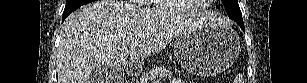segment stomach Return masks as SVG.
I'll list each match as a JSON object with an SVG mask.
<instances>
[{
  "label": "stomach",
  "instance_id": "stomach-1",
  "mask_svg": "<svg viewBox=\"0 0 307 83\" xmlns=\"http://www.w3.org/2000/svg\"><path fill=\"white\" fill-rule=\"evenodd\" d=\"M240 40L230 27L203 26L179 35L174 53L180 64L198 76H213L237 59Z\"/></svg>",
  "mask_w": 307,
  "mask_h": 83
}]
</instances>
